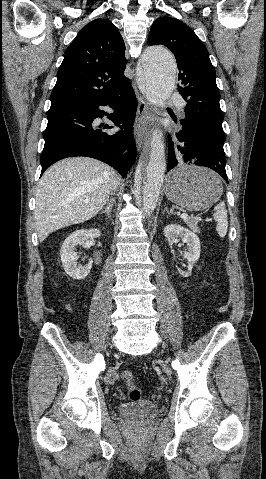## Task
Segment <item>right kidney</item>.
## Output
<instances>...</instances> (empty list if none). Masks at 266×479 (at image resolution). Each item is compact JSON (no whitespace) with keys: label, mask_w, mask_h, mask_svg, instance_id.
Wrapping results in <instances>:
<instances>
[{"label":"right kidney","mask_w":266,"mask_h":479,"mask_svg":"<svg viewBox=\"0 0 266 479\" xmlns=\"http://www.w3.org/2000/svg\"><path fill=\"white\" fill-rule=\"evenodd\" d=\"M98 229H81L70 234L63 242L60 250L61 262L65 272L73 279L82 280L92 268V260L85 266L77 264L78 256L74 251L77 245L83 244L88 239L100 237Z\"/></svg>","instance_id":"obj_1"}]
</instances>
